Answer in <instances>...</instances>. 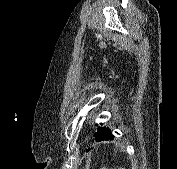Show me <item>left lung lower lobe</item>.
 <instances>
[{
  "instance_id": "0a47b994",
  "label": "left lung lower lobe",
  "mask_w": 177,
  "mask_h": 169,
  "mask_svg": "<svg viewBox=\"0 0 177 169\" xmlns=\"http://www.w3.org/2000/svg\"><path fill=\"white\" fill-rule=\"evenodd\" d=\"M115 138V136L113 135L112 131L108 128V132H106L105 134L103 135H99L97 138H96V141L97 142H100V141H107V140H113Z\"/></svg>"
}]
</instances>
